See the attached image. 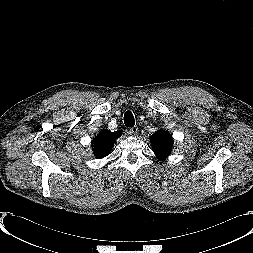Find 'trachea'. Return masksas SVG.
I'll list each match as a JSON object with an SVG mask.
<instances>
[{
	"label": "trachea",
	"instance_id": "3493384b",
	"mask_svg": "<svg viewBox=\"0 0 253 253\" xmlns=\"http://www.w3.org/2000/svg\"><path fill=\"white\" fill-rule=\"evenodd\" d=\"M124 123L127 127H133L135 125V120L131 111L125 112Z\"/></svg>",
	"mask_w": 253,
	"mask_h": 253
}]
</instances>
